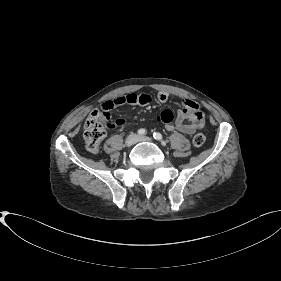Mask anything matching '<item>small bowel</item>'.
Returning <instances> with one entry per match:
<instances>
[{
    "mask_svg": "<svg viewBox=\"0 0 281 281\" xmlns=\"http://www.w3.org/2000/svg\"><path fill=\"white\" fill-rule=\"evenodd\" d=\"M169 99L166 92H159L156 95V100L160 103H165ZM152 97L146 93L128 94L115 97L101 104V109L106 112L112 111L114 108L123 104H131L138 106H147L151 103ZM157 122L162 123L167 131H179L184 134H193L204 125V115L197 103L192 100H184L183 108L178 112L174 119V114L171 110H162L156 117ZM116 124L121 126L125 124L123 119L116 120Z\"/></svg>",
    "mask_w": 281,
    "mask_h": 281,
    "instance_id": "obj_1",
    "label": "small bowel"
}]
</instances>
